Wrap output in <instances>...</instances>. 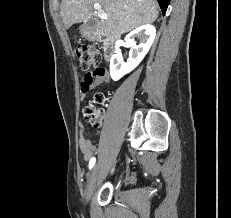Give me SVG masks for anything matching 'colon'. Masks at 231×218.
<instances>
[{
	"label": "colon",
	"instance_id": "colon-1",
	"mask_svg": "<svg viewBox=\"0 0 231 218\" xmlns=\"http://www.w3.org/2000/svg\"><path fill=\"white\" fill-rule=\"evenodd\" d=\"M74 54L78 60L81 70L84 69H96L101 62V53L88 45L81 44L75 47ZM105 101V97L102 93H96L94 96L95 104H102ZM102 112L100 109L93 105L87 106L84 109V118L93 127L97 128L100 124Z\"/></svg>",
	"mask_w": 231,
	"mask_h": 218
}]
</instances>
